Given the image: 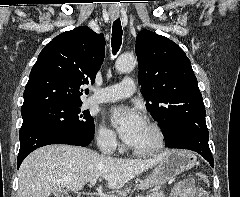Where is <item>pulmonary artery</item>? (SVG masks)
Here are the masks:
<instances>
[{"label":"pulmonary artery","mask_w":240,"mask_h":197,"mask_svg":"<svg viewBox=\"0 0 240 197\" xmlns=\"http://www.w3.org/2000/svg\"><path fill=\"white\" fill-rule=\"evenodd\" d=\"M136 90L135 82L132 78L126 77L119 84L103 89H95L90 97L91 103H107L119 99L130 97Z\"/></svg>","instance_id":"obj_1"}]
</instances>
